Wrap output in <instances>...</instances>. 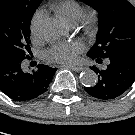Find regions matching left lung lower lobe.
Returning <instances> with one entry per match:
<instances>
[{
  "label": "left lung lower lobe",
  "instance_id": "1",
  "mask_svg": "<svg viewBox=\"0 0 135 135\" xmlns=\"http://www.w3.org/2000/svg\"><path fill=\"white\" fill-rule=\"evenodd\" d=\"M102 63L103 58L91 57ZM108 62L104 70L90 67L97 75L98 82L93 87H84L85 91L101 100H111L122 95L135 81V55L117 53L105 58Z\"/></svg>",
  "mask_w": 135,
  "mask_h": 135
}]
</instances>
